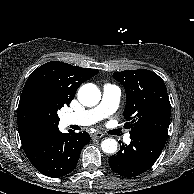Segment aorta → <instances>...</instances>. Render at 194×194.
Here are the masks:
<instances>
[{"label": "aorta", "mask_w": 194, "mask_h": 194, "mask_svg": "<svg viewBox=\"0 0 194 194\" xmlns=\"http://www.w3.org/2000/svg\"><path fill=\"white\" fill-rule=\"evenodd\" d=\"M100 99L101 92L95 84H85L78 90V100L84 106H95L98 104ZM101 148L105 153H115L117 151V141L112 138H107L101 142Z\"/></svg>", "instance_id": "1"}]
</instances>
